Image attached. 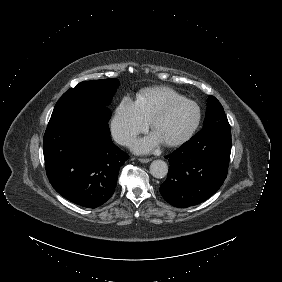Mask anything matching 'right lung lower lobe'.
<instances>
[{"mask_svg": "<svg viewBox=\"0 0 282 282\" xmlns=\"http://www.w3.org/2000/svg\"><path fill=\"white\" fill-rule=\"evenodd\" d=\"M108 120L84 107H68L51 116L44 139L46 173L53 188L87 208L114 193L120 167L129 156L110 138Z\"/></svg>", "mask_w": 282, "mask_h": 282, "instance_id": "1", "label": "right lung lower lobe"}]
</instances>
